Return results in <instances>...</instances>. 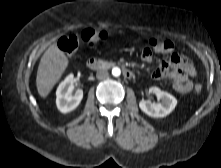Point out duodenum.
I'll return each mask as SVG.
<instances>
[{
	"label": "duodenum",
	"instance_id": "duodenum-1",
	"mask_svg": "<svg viewBox=\"0 0 221 168\" xmlns=\"http://www.w3.org/2000/svg\"><path fill=\"white\" fill-rule=\"evenodd\" d=\"M87 67L91 70H100L102 68H104L107 64H105L103 61H101L98 58H89L87 60ZM116 64H112V66H115ZM123 72V75L128 78V79H132L134 77V73L132 70H130L129 68L123 66V65H118Z\"/></svg>",
	"mask_w": 221,
	"mask_h": 168
}]
</instances>
